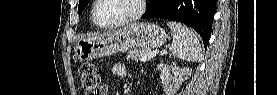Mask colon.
Wrapping results in <instances>:
<instances>
[{
	"label": "colon",
	"instance_id": "5ec220e1",
	"mask_svg": "<svg viewBox=\"0 0 277 95\" xmlns=\"http://www.w3.org/2000/svg\"><path fill=\"white\" fill-rule=\"evenodd\" d=\"M80 81L84 93L87 95L98 94L100 75L97 67L93 64H83L78 69Z\"/></svg>",
	"mask_w": 277,
	"mask_h": 95
}]
</instances>
